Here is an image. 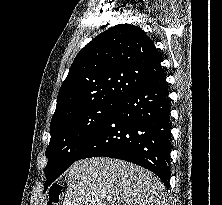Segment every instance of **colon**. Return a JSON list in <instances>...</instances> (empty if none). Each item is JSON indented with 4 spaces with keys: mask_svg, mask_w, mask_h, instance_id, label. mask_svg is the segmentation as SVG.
Returning a JSON list of instances; mask_svg holds the SVG:
<instances>
[{
    "mask_svg": "<svg viewBox=\"0 0 222 205\" xmlns=\"http://www.w3.org/2000/svg\"><path fill=\"white\" fill-rule=\"evenodd\" d=\"M63 195V189L60 185H55L50 192L46 205H59Z\"/></svg>",
    "mask_w": 222,
    "mask_h": 205,
    "instance_id": "obj_1",
    "label": "colon"
}]
</instances>
